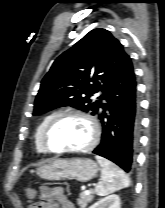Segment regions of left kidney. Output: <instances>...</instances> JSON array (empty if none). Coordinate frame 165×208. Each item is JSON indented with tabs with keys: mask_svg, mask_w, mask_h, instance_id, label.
Instances as JSON below:
<instances>
[{
	"mask_svg": "<svg viewBox=\"0 0 165 208\" xmlns=\"http://www.w3.org/2000/svg\"><path fill=\"white\" fill-rule=\"evenodd\" d=\"M120 204V197L113 194L100 199L89 208H121Z\"/></svg>",
	"mask_w": 165,
	"mask_h": 208,
	"instance_id": "left-kidney-1",
	"label": "left kidney"
}]
</instances>
